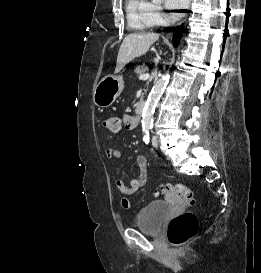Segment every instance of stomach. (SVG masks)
<instances>
[{"mask_svg":"<svg viewBox=\"0 0 261 273\" xmlns=\"http://www.w3.org/2000/svg\"><path fill=\"white\" fill-rule=\"evenodd\" d=\"M124 89L122 76L106 75L96 85L93 92V102L98 107H109Z\"/></svg>","mask_w":261,"mask_h":273,"instance_id":"obj_1","label":"stomach"}]
</instances>
